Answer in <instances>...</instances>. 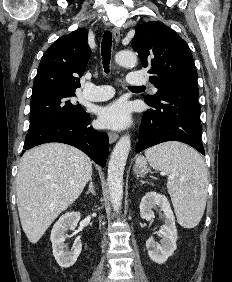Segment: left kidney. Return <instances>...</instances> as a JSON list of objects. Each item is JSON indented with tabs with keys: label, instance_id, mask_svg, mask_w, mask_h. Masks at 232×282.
I'll use <instances>...</instances> for the list:
<instances>
[{
	"label": "left kidney",
	"instance_id": "5707ae66",
	"mask_svg": "<svg viewBox=\"0 0 232 282\" xmlns=\"http://www.w3.org/2000/svg\"><path fill=\"white\" fill-rule=\"evenodd\" d=\"M159 207L165 215V225L157 232L162 237L160 244L156 243L152 237L146 241V248L151 260L158 264H163L176 250L177 229L175 217L168 199L155 191L147 192L142 197L140 203V216L146 221L154 218L152 209Z\"/></svg>",
	"mask_w": 232,
	"mask_h": 282
}]
</instances>
